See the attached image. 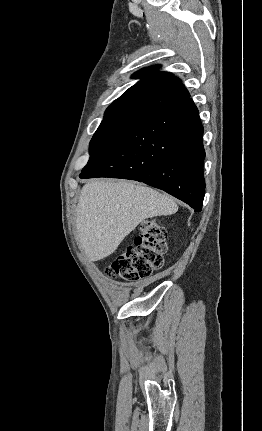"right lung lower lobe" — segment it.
<instances>
[{
  "mask_svg": "<svg viewBox=\"0 0 262 431\" xmlns=\"http://www.w3.org/2000/svg\"><path fill=\"white\" fill-rule=\"evenodd\" d=\"M203 126L189 99L131 126L80 178L112 177L162 189L201 211Z\"/></svg>",
  "mask_w": 262,
  "mask_h": 431,
  "instance_id": "obj_1",
  "label": "right lung lower lobe"
}]
</instances>
